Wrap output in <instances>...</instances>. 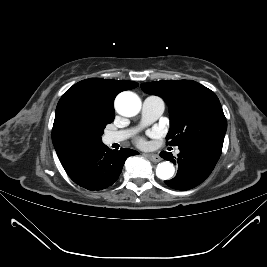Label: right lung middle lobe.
I'll use <instances>...</instances> for the list:
<instances>
[{
	"label": "right lung middle lobe",
	"mask_w": 267,
	"mask_h": 267,
	"mask_svg": "<svg viewBox=\"0 0 267 267\" xmlns=\"http://www.w3.org/2000/svg\"><path fill=\"white\" fill-rule=\"evenodd\" d=\"M115 114L97 110L91 103L79 101L61 115L59 127L64 141L74 149L101 143V136Z\"/></svg>",
	"instance_id": "right-lung-middle-lobe-1"
}]
</instances>
